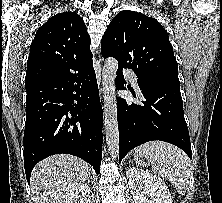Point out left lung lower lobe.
<instances>
[{
	"mask_svg": "<svg viewBox=\"0 0 222 203\" xmlns=\"http://www.w3.org/2000/svg\"><path fill=\"white\" fill-rule=\"evenodd\" d=\"M122 70L118 68L116 72L118 90H125ZM137 82L144 97L142 105L127 103L123 98L117 100L119 163L131 149L153 140L176 145L192 159L180 83L170 79L139 78Z\"/></svg>",
	"mask_w": 222,
	"mask_h": 203,
	"instance_id": "0a47b994",
	"label": "left lung lower lobe"
}]
</instances>
